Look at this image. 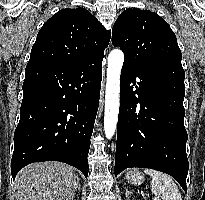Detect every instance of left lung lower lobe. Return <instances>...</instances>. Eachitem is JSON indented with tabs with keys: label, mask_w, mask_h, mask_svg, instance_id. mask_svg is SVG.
I'll use <instances>...</instances> for the list:
<instances>
[{
	"label": "left lung lower lobe",
	"mask_w": 205,
	"mask_h": 200,
	"mask_svg": "<svg viewBox=\"0 0 205 200\" xmlns=\"http://www.w3.org/2000/svg\"><path fill=\"white\" fill-rule=\"evenodd\" d=\"M184 78L177 61L140 68L123 64L115 176L128 167L151 168L171 175L187 192Z\"/></svg>",
	"instance_id": "0a47b994"
}]
</instances>
